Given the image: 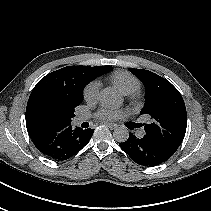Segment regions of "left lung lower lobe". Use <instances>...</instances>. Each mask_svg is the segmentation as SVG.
<instances>
[{"label":"left lung lower lobe","instance_id":"obj_1","mask_svg":"<svg viewBox=\"0 0 211 211\" xmlns=\"http://www.w3.org/2000/svg\"><path fill=\"white\" fill-rule=\"evenodd\" d=\"M119 146L134 162L146 167L157 166L174 154L146 135L137 138L130 133L128 140L120 143Z\"/></svg>","mask_w":211,"mask_h":211}]
</instances>
